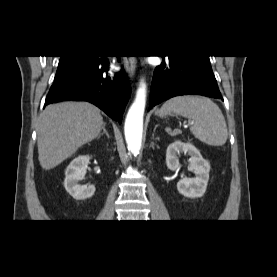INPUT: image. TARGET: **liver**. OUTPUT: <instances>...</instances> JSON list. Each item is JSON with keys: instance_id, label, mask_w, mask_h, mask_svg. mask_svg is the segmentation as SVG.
Segmentation results:
<instances>
[{"instance_id": "liver-1", "label": "liver", "mask_w": 277, "mask_h": 277, "mask_svg": "<svg viewBox=\"0 0 277 277\" xmlns=\"http://www.w3.org/2000/svg\"><path fill=\"white\" fill-rule=\"evenodd\" d=\"M100 110L86 102H62L43 111L37 128L38 159L50 170L94 140L103 128Z\"/></svg>"}]
</instances>
